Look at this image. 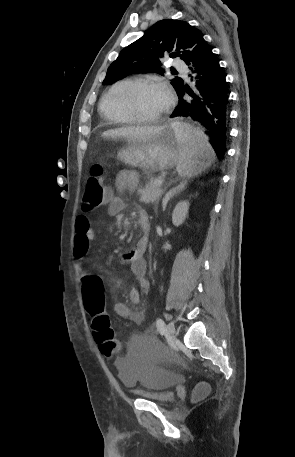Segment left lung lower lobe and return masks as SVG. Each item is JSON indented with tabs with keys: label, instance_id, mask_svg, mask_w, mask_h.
I'll return each mask as SVG.
<instances>
[{
	"label": "left lung lower lobe",
	"instance_id": "obj_1",
	"mask_svg": "<svg viewBox=\"0 0 295 457\" xmlns=\"http://www.w3.org/2000/svg\"><path fill=\"white\" fill-rule=\"evenodd\" d=\"M186 64L190 65L200 96L195 95L187 85L183 84L177 91L179 104L171 117L190 116L199 121L206 128L203 132L216 156L223 159L228 133V90L225 75L219 60L204 38L196 44ZM185 93L194 99L186 102L183 100Z\"/></svg>",
	"mask_w": 295,
	"mask_h": 457
}]
</instances>
